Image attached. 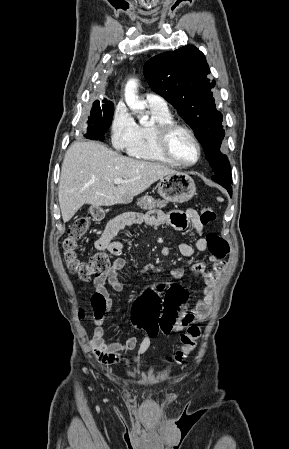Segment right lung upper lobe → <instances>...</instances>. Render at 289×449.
Listing matches in <instances>:
<instances>
[{"label": "right lung upper lobe", "mask_w": 289, "mask_h": 449, "mask_svg": "<svg viewBox=\"0 0 289 449\" xmlns=\"http://www.w3.org/2000/svg\"><path fill=\"white\" fill-rule=\"evenodd\" d=\"M103 101H108L107 99H104Z\"/></svg>", "instance_id": "1"}]
</instances>
